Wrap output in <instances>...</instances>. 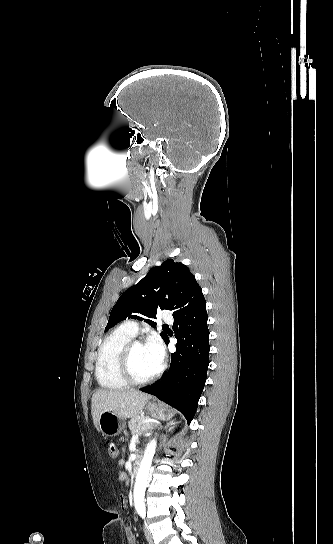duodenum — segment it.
<instances>
[{"label":"duodenum","instance_id":"410a0bca","mask_svg":"<svg viewBox=\"0 0 333 544\" xmlns=\"http://www.w3.org/2000/svg\"><path fill=\"white\" fill-rule=\"evenodd\" d=\"M140 466H141V458L137 456L131 466V473L133 476L138 474L140 470Z\"/></svg>","mask_w":333,"mask_h":544}]
</instances>
